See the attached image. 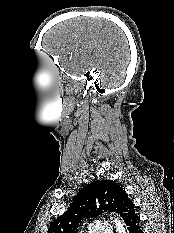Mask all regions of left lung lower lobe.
<instances>
[{
	"mask_svg": "<svg viewBox=\"0 0 174 233\" xmlns=\"http://www.w3.org/2000/svg\"><path fill=\"white\" fill-rule=\"evenodd\" d=\"M124 222L129 233H143L140 227V218L136 212H133L131 215H129Z\"/></svg>",
	"mask_w": 174,
	"mask_h": 233,
	"instance_id": "obj_1",
	"label": "left lung lower lobe"
}]
</instances>
